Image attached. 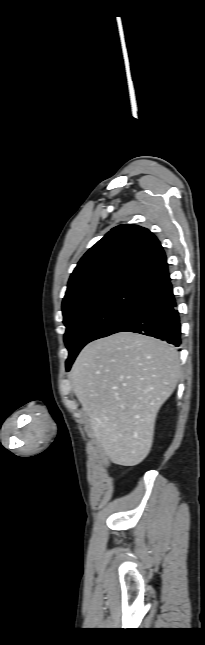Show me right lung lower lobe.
I'll list each match as a JSON object with an SVG mask.
<instances>
[{
  "label": "right lung lower lobe",
  "mask_w": 205,
  "mask_h": 645,
  "mask_svg": "<svg viewBox=\"0 0 205 645\" xmlns=\"http://www.w3.org/2000/svg\"><path fill=\"white\" fill-rule=\"evenodd\" d=\"M169 273L145 288L139 303L101 337L117 332L153 336L170 344H181V325Z\"/></svg>",
  "instance_id": "98d812e1"
}]
</instances>
